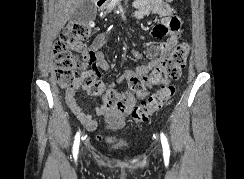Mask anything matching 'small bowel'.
Segmentation results:
<instances>
[{
	"mask_svg": "<svg viewBox=\"0 0 244 179\" xmlns=\"http://www.w3.org/2000/svg\"><path fill=\"white\" fill-rule=\"evenodd\" d=\"M135 11L132 15L133 20H140L150 14L157 15L160 21L153 25L150 29V35L154 38L164 39L159 44H151L146 47L143 53L133 51L136 59L145 56L148 61L137 66L135 69H125L121 76L110 82L111 86L128 80L132 76H143L158 67L167 57L170 50L178 43L180 38V19L175 15L171 6L163 0H137L134 2ZM109 39V34L100 33L95 36L92 43L88 47V54L95 61L96 66L103 72H109L111 67L106 60L102 47ZM78 89H66L65 102L77 119L88 129L94 130L97 122L89 114H87L82 106L78 103L76 94ZM135 102L129 103L128 112L131 111ZM95 113L102 117L107 128L119 130L123 128L125 115H118L108 112L103 106L95 108ZM106 143H114L116 141L113 135H104L100 137Z\"/></svg>",
	"mask_w": 244,
	"mask_h": 179,
	"instance_id": "c3829d8e",
	"label": "small bowel"
}]
</instances>
